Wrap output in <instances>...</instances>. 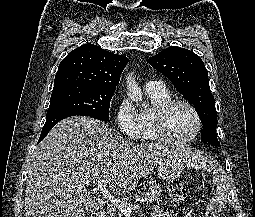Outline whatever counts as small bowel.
Instances as JSON below:
<instances>
[{"instance_id":"1","label":"small bowel","mask_w":255,"mask_h":217,"mask_svg":"<svg viewBox=\"0 0 255 217\" xmlns=\"http://www.w3.org/2000/svg\"><path fill=\"white\" fill-rule=\"evenodd\" d=\"M221 208H222V205L219 202V207H218L217 211L214 212V213H211L210 212V207L208 206V208H207L208 217H214L221 210ZM151 217H173V216L169 213L163 212L162 209L159 208L158 206H155L152 209Z\"/></svg>"}]
</instances>
